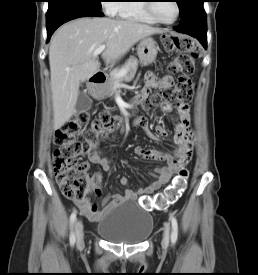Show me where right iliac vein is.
<instances>
[{
	"label": "right iliac vein",
	"instance_id": "right-iliac-vein-1",
	"mask_svg": "<svg viewBox=\"0 0 258 275\" xmlns=\"http://www.w3.org/2000/svg\"><path fill=\"white\" fill-rule=\"evenodd\" d=\"M75 233L77 239V246L81 247L84 243V230H83V223L81 220H77L75 222Z\"/></svg>",
	"mask_w": 258,
	"mask_h": 275
}]
</instances>
